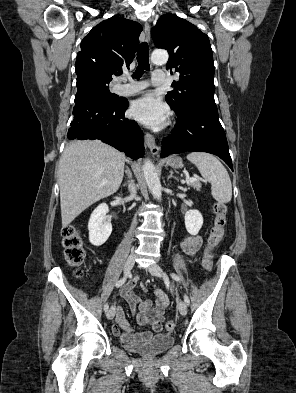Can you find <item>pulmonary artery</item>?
Returning <instances> with one entry per match:
<instances>
[{
    "label": "pulmonary artery",
    "mask_w": 296,
    "mask_h": 393,
    "mask_svg": "<svg viewBox=\"0 0 296 393\" xmlns=\"http://www.w3.org/2000/svg\"><path fill=\"white\" fill-rule=\"evenodd\" d=\"M166 82V74L157 70L152 74L150 83L145 81H133L128 76L122 78V81L116 85L115 91L120 95H133L143 89H145L149 84L157 86Z\"/></svg>",
    "instance_id": "1"
}]
</instances>
